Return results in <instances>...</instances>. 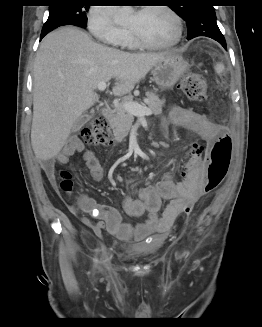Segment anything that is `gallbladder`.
Masks as SVG:
<instances>
[{"instance_id":"bac80fb5","label":"gallbladder","mask_w":262,"mask_h":327,"mask_svg":"<svg viewBox=\"0 0 262 327\" xmlns=\"http://www.w3.org/2000/svg\"><path fill=\"white\" fill-rule=\"evenodd\" d=\"M91 119V115L88 113L82 114L73 124L72 131H78Z\"/></svg>"}]
</instances>
